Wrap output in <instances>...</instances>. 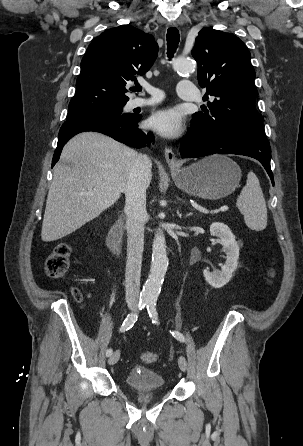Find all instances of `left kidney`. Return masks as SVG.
<instances>
[{
	"label": "left kidney",
	"instance_id": "left-kidney-1",
	"mask_svg": "<svg viewBox=\"0 0 303 446\" xmlns=\"http://www.w3.org/2000/svg\"><path fill=\"white\" fill-rule=\"evenodd\" d=\"M210 233L216 236L223 246V251L226 253V262L222 266V270H215L210 272L205 269L203 271L206 281L215 288H221L226 285L232 278V274L237 268L239 258V244L235 240V236L230 228L220 222H214L210 226Z\"/></svg>",
	"mask_w": 303,
	"mask_h": 446
}]
</instances>
